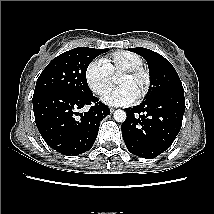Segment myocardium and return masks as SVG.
<instances>
[{"label": "myocardium", "instance_id": "f54148a6", "mask_svg": "<svg viewBox=\"0 0 214 214\" xmlns=\"http://www.w3.org/2000/svg\"><path fill=\"white\" fill-rule=\"evenodd\" d=\"M121 74L138 79L141 85L138 98L141 99L142 97L145 96L150 85V73L146 67H144L143 65H140L137 67L129 68L122 71Z\"/></svg>", "mask_w": 214, "mask_h": 214}]
</instances>
